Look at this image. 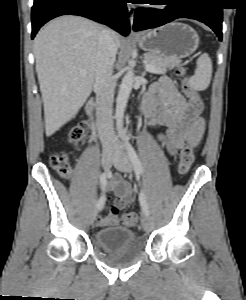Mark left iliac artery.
<instances>
[{"mask_svg": "<svg viewBox=\"0 0 246 300\" xmlns=\"http://www.w3.org/2000/svg\"><path fill=\"white\" fill-rule=\"evenodd\" d=\"M125 148H126L128 155L134 165V169H135L136 173L142 174L143 173L142 163H141L136 151L134 150L132 145L127 140H125ZM139 201H140V205H141L143 213L146 215H149L150 212H149V208H148V204H147L146 195H145V192L143 189L139 193Z\"/></svg>", "mask_w": 246, "mask_h": 300, "instance_id": "44dca946", "label": "left iliac artery"}]
</instances>
